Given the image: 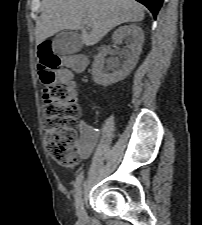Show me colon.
<instances>
[{
  "mask_svg": "<svg viewBox=\"0 0 202 225\" xmlns=\"http://www.w3.org/2000/svg\"><path fill=\"white\" fill-rule=\"evenodd\" d=\"M55 49L56 40L47 38L40 42L37 52L44 85L42 125L49 156L60 166L71 168L78 161L77 134L81 110L69 76L56 71L62 60ZM65 58L74 59V54H66Z\"/></svg>",
  "mask_w": 202,
  "mask_h": 225,
  "instance_id": "1",
  "label": "colon"
}]
</instances>
